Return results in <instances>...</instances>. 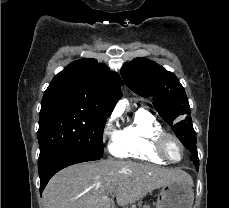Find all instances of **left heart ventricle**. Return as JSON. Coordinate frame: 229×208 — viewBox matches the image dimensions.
<instances>
[{
	"label": "left heart ventricle",
	"instance_id": "obj_1",
	"mask_svg": "<svg viewBox=\"0 0 229 208\" xmlns=\"http://www.w3.org/2000/svg\"><path fill=\"white\" fill-rule=\"evenodd\" d=\"M169 148L172 149L171 154L174 159L178 160L182 157L183 154L182 147L177 141L171 139L169 141Z\"/></svg>",
	"mask_w": 229,
	"mask_h": 208
}]
</instances>
